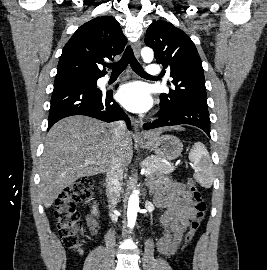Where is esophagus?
Wrapping results in <instances>:
<instances>
[{
	"instance_id": "esophagus-1",
	"label": "esophagus",
	"mask_w": 267,
	"mask_h": 270,
	"mask_svg": "<svg viewBox=\"0 0 267 270\" xmlns=\"http://www.w3.org/2000/svg\"><path fill=\"white\" fill-rule=\"evenodd\" d=\"M140 50H141V42L137 41L133 45V51H134V55H135L136 58L140 57ZM134 136L135 137H140L141 136L137 121L134 122Z\"/></svg>"
}]
</instances>
